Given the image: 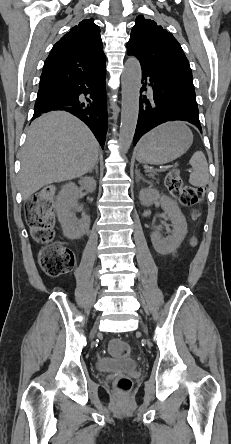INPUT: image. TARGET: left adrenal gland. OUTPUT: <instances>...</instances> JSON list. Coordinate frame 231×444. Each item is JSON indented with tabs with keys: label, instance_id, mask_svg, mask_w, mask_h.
<instances>
[{
	"label": "left adrenal gland",
	"instance_id": "obj_1",
	"mask_svg": "<svg viewBox=\"0 0 231 444\" xmlns=\"http://www.w3.org/2000/svg\"><path fill=\"white\" fill-rule=\"evenodd\" d=\"M135 173H136V182H139V180H143L144 182H148V183H149V181L146 180V179L140 174V172H139V170L137 169V167H136V171H135Z\"/></svg>",
	"mask_w": 231,
	"mask_h": 444
}]
</instances>
